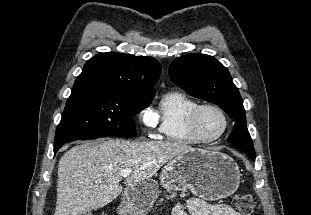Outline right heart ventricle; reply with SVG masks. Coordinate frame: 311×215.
<instances>
[{"label":"right heart ventricle","instance_id":"right-heart-ventricle-1","mask_svg":"<svg viewBox=\"0 0 311 215\" xmlns=\"http://www.w3.org/2000/svg\"><path fill=\"white\" fill-rule=\"evenodd\" d=\"M198 105L195 100L180 91L166 93L154 112L161 136L167 141L178 144L201 143L188 128L189 114Z\"/></svg>","mask_w":311,"mask_h":215}]
</instances>
